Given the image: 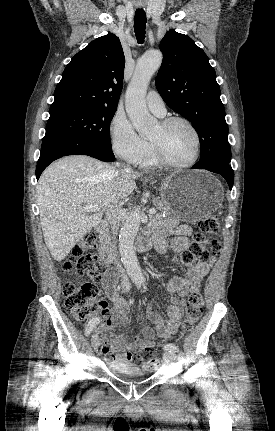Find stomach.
I'll return each instance as SVG.
<instances>
[{"label":"stomach","mask_w":275,"mask_h":431,"mask_svg":"<svg viewBox=\"0 0 275 431\" xmlns=\"http://www.w3.org/2000/svg\"><path fill=\"white\" fill-rule=\"evenodd\" d=\"M162 200L180 220L194 223L220 208V182L203 170L176 171L160 183Z\"/></svg>","instance_id":"1"}]
</instances>
